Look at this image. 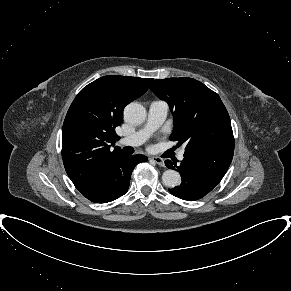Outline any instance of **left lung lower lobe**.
I'll return each mask as SVG.
<instances>
[{"label":"left lung lower lobe","instance_id":"0a47b994","mask_svg":"<svg viewBox=\"0 0 291 291\" xmlns=\"http://www.w3.org/2000/svg\"><path fill=\"white\" fill-rule=\"evenodd\" d=\"M234 150L185 151L179 166L165 161L167 168L177 169L182 182L169 192L184 200H198L221 181L232 161Z\"/></svg>","mask_w":291,"mask_h":291}]
</instances>
